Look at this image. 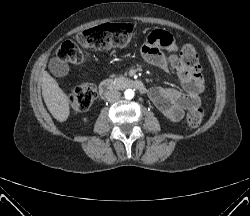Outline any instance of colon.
I'll list each match as a JSON object with an SVG mask.
<instances>
[{"label":"colon","instance_id":"obj_1","mask_svg":"<svg viewBox=\"0 0 250 216\" xmlns=\"http://www.w3.org/2000/svg\"><path fill=\"white\" fill-rule=\"evenodd\" d=\"M137 31L131 24L106 23L87 29L76 36V41H65L58 49V57L64 62L79 64L84 60L80 48L110 49L123 48L133 43ZM181 65L191 73H198L200 61L194 46L185 44L180 51ZM96 98V89L91 84H81L69 92V100L75 112L86 111ZM204 117L201 107L192 108L187 114V122L192 127L200 125Z\"/></svg>","mask_w":250,"mask_h":216}]
</instances>
